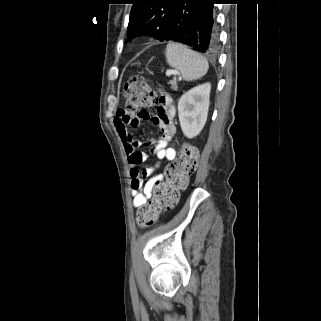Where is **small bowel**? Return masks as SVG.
<instances>
[{
  "instance_id": "c3829d8e",
  "label": "small bowel",
  "mask_w": 321,
  "mask_h": 321,
  "mask_svg": "<svg viewBox=\"0 0 321 321\" xmlns=\"http://www.w3.org/2000/svg\"><path fill=\"white\" fill-rule=\"evenodd\" d=\"M175 115L174 102L170 96L165 94L157 100L155 114H151L145 109L136 113H129L124 109H120L116 113L114 127L123 143L130 165L131 194L133 205L137 208L146 204L147 200L151 198L156 185L164 180V176L160 173H155L160 165L159 163L145 170L140 169L139 166L147 160L148 155L139 150L141 143L132 136L130 129L137 128L142 121L147 120L158 126L161 130V135L157 138H152L146 145L152 148V152L158 160L166 159L172 161L176 158V150L169 147L168 144L176 133ZM144 178H148L146 182H144Z\"/></svg>"
}]
</instances>
